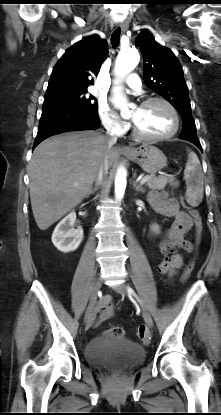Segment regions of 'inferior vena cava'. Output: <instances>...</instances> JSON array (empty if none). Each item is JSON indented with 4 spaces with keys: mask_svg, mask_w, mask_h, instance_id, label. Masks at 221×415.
<instances>
[{
    "mask_svg": "<svg viewBox=\"0 0 221 415\" xmlns=\"http://www.w3.org/2000/svg\"><path fill=\"white\" fill-rule=\"evenodd\" d=\"M105 138H106V145L108 148H111L117 141V136L115 134H112L110 131L106 132ZM107 173H108V160L105 157L99 167L97 178H96V183L100 184L103 178L107 175Z\"/></svg>",
    "mask_w": 221,
    "mask_h": 415,
    "instance_id": "602c4592",
    "label": "inferior vena cava"
}]
</instances>
